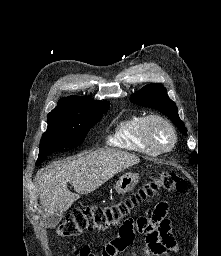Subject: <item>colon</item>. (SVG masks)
<instances>
[{"mask_svg":"<svg viewBox=\"0 0 221 256\" xmlns=\"http://www.w3.org/2000/svg\"><path fill=\"white\" fill-rule=\"evenodd\" d=\"M186 187V181L178 174L162 172L133 194L115 203L84 206L73 210L59 224L57 234L61 237H73L84 232L103 231L116 226H119V230L128 228L131 221L128 217L130 212L153 197L158 190L183 192Z\"/></svg>","mask_w":221,"mask_h":256,"instance_id":"obj_1","label":"colon"}]
</instances>
